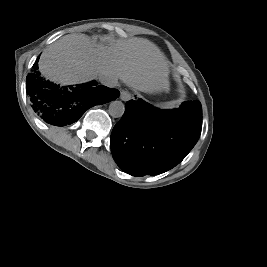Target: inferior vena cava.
I'll return each instance as SVG.
<instances>
[{"mask_svg": "<svg viewBox=\"0 0 267 267\" xmlns=\"http://www.w3.org/2000/svg\"><path fill=\"white\" fill-rule=\"evenodd\" d=\"M99 81L101 82V84L110 88L115 87L118 83L117 77L106 73H102L99 75Z\"/></svg>", "mask_w": 267, "mask_h": 267, "instance_id": "inferior-vena-cava-1", "label": "inferior vena cava"}]
</instances>
